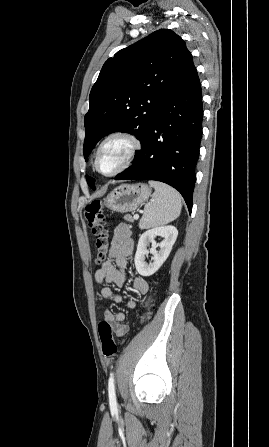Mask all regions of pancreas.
Wrapping results in <instances>:
<instances>
[{"instance_id": "obj_1", "label": "pancreas", "mask_w": 269, "mask_h": 447, "mask_svg": "<svg viewBox=\"0 0 269 447\" xmlns=\"http://www.w3.org/2000/svg\"><path fill=\"white\" fill-rule=\"evenodd\" d=\"M124 220H127V222H134L132 216H129V214L128 216H124Z\"/></svg>"}]
</instances>
